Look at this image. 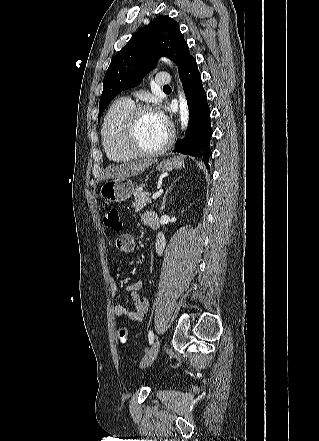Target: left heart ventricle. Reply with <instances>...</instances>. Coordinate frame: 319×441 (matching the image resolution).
I'll use <instances>...</instances> for the list:
<instances>
[{
  "instance_id": "b2bd125f",
  "label": "left heart ventricle",
  "mask_w": 319,
  "mask_h": 441,
  "mask_svg": "<svg viewBox=\"0 0 319 441\" xmlns=\"http://www.w3.org/2000/svg\"><path fill=\"white\" fill-rule=\"evenodd\" d=\"M167 133L168 127L158 120L155 112H146L141 115L136 137L142 148L147 150L158 148L166 140Z\"/></svg>"
}]
</instances>
